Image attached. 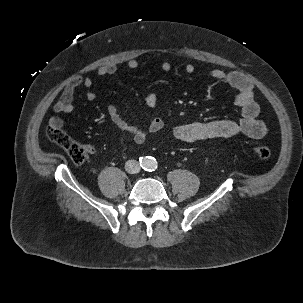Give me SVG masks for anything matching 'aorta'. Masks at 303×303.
I'll return each mask as SVG.
<instances>
[{"mask_svg": "<svg viewBox=\"0 0 303 303\" xmlns=\"http://www.w3.org/2000/svg\"><path fill=\"white\" fill-rule=\"evenodd\" d=\"M142 165L147 170H155L157 168V161L153 157H145Z\"/></svg>", "mask_w": 303, "mask_h": 303, "instance_id": "aorta-1", "label": "aorta"}]
</instances>
